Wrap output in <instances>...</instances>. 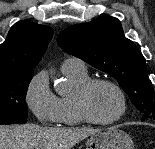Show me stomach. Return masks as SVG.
Wrapping results in <instances>:
<instances>
[{
    "mask_svg": "<svg viewBox=\"0 0 155 149\" xmlns=\"http://www.w3.org/2000/svg\"><path fill=\"white\" fill-rule=\"evenodd\" d=\"M86 149H134L131 137L118 127H110L92 134Z\"/></svg>",
    "mask_w": 155,
    "mask_h": 149,
    "instance_id": "stomach-1",
    "label": "stomach"
}]
</instances>
